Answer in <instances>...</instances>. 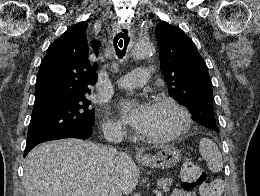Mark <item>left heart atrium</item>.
<instances>
[{"label": "left heart atrium", "instance_id": "obj_1", "mask_svg": "<svg viewBox=\"0 0 260 196\" xmlns=\"http://www.w3.org/2000/svg\"><path fill=\"white\" fill-rule=\"evenodd\" d=\"M120 111L123 119L134 129L144 132L150 115V104H134L128 101L121 103ZM120 190H91V192H119Z\"/></svg>", "mask_w": 260, "mask_h": 196}]
</instances>
